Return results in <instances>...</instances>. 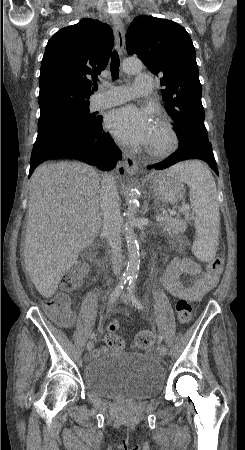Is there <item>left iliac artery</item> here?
<instances>
[{
	"mask_svg": "<svg viewBox=\"0 0 245 450\" xmlns=\"http://www.w3.org/2000/svg\"><path fill=\"white\" fill-rule=\"evenodd\" d=\"M136 278L135 276H131L129 283H128V287H127V293H128V297L131 300V302L133 303V305L140 309L143 310V305L142 303L136 298L135 296V288H136ZM158 340L160 342L163 341V336L161 334L158 335Z\"/></svg>",
	"mask_w": 245,
	"mask_h": 450,
	"instance_id": "left-iliac-artery-1",
	"label": "left iliac artery"
}]
</instances>
